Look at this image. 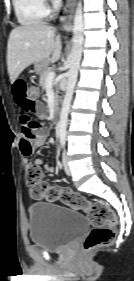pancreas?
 <instances>
[{
  "label": "pancreas",
  "mask_w": 134,
  "mask_h": 281,
  "mask_svg": "<svg viewBox=\"0 0 134 281\" xmlns=\"http://www.w3.org/2000/svg\"><path fill=\"white\" fill-rule=\"evenodd\" d=\"M53 71V68L52 67H46L45 70H43L41 73H40V86L42 87V89L45 88V85H46V82H47V77H48V74L50 72ZM55 98H56V104H57V100H58V90H56V95H55Z\"/></svg>",
  "instance_id": "1"
}]
</instances>
